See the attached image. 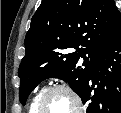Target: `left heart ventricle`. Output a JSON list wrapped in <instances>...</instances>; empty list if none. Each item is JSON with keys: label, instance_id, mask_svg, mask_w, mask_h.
Here are the masks:
<instances>
[{"label": "left heart ventricle", "instance_id": "left-heart-ventricle-1", "mask_svg": "<svg viewBox=\"0 0 121 113\" xmlns=\"http://www.w3.org/2000/svg\"><path fill=\"white\" fill-rule=\"evenodd\" d=\"M43 109L49 112H68L74 109V102L65 92H56L46 99Z\"/></svg>", "mask_w": 121, "mask_h": 113}]
</instances>
